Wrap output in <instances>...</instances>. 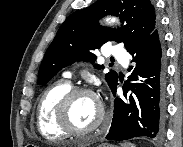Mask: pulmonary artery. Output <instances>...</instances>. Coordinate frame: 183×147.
I'll list each match as a JSON object with an SVG mask.
<instances>
[{
    "label": "pulmonary artery",
    "instance_id": "e3ab8cb5",
    "mask_svg": "<svg viewBox=\"0 0 183 147\" xmlns=\"http://www.w3.org/2000/svg\"><path fill=\"white\" fill-rule=\"evenodd\" d=\"M109 54H110V56H113L118 60L124 59V57L127 55L126 52L119 46L111 47L109 50ZM64 76L67 78H71L72 72L67 71L64 73Z\"/></svg>",
    "mask_w": 183,
    "mask_h": 147
}]
</instances>
